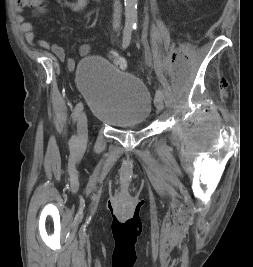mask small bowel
Returning <instances> with one entry per match:
<instances>
[{
  "mask_svg": "<svg viewBox=\"0 0 253 267\" xmlns=\"http://www.w3.org/2000/svg\"><path fill=\"white\" fill-rule=\"evenodd\" d=\"M62 5L66 6L73 12H80L89 3L90 0H75V1H68V0H58ZM93 1H98V0H93ZM20 29L22 33L25 36L26 41L34 46L36 43V35L34 32V27L31 21H24L21 23ZM38 45L45 50H51L52 53L60 60L65 59V51L62 46L56 43H49L46 40H39ZM92 49V45L90 43H84L80 45L79 47V54L81 56H87Z\"/></svg>",
  "mask_w": 253,
  "mask_h": 267,
  "instance_id": "1",
  "label": "small bowel"
}]
</instances>
